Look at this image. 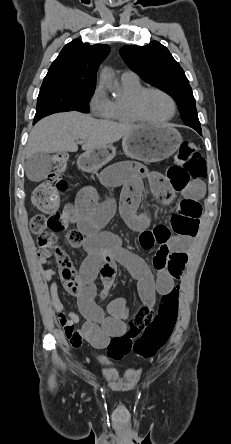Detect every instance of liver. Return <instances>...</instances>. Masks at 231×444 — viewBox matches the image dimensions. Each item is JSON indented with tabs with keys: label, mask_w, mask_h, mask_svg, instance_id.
<instances>
[{
	"label": "liver",
	"mask_w": 231,
	"mask_h": 444,
	"mask_svg": "<svg viewBox=\"0 0 231 444\" xmlns=\"http://www.w3.org/2000/svg\"><path fill=\"white\" fill-rule=\"evenodd\" d=\"M138 126L97 120L76 111L57 113L40 120L32 129L25 155L37 152H76V140H84L82 149L89 153L112 145Z\"/></svg>",
	"instance_id": "6515ba94"
}]
</instances>
